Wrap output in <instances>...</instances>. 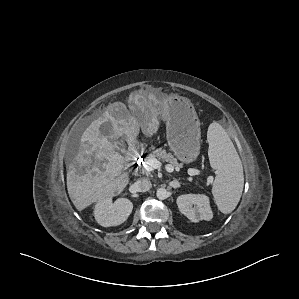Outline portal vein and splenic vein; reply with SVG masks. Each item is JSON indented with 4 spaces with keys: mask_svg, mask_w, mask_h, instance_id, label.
<instances>
[{
    "mask_svg": "<svg viewBox=\"0 0 299 299\" xmlns=\"http://www.w3.org/2000/svg\"><path fill=\"white\" fill-rule=\"evenodd\" d=\"M162 167V163L160 161H158L156 158L152 157L148 160L147 162V166H146V169L148 171H152L153 169H159ZM165 169L166 171L168 172H172L174 170L173 166L172 165H166L165 166ZM188 174L190 176H195V175H199L200 174V171L197 170V169H193V168H190L188 170Z\"/></svg>",
    "mask_w": 299,
    "mask_h": 299,
    "instance_id": "portal-vein-and-splenic-vein-1",
    "label": "portal vein and splenic vein"
}]
</instances>
